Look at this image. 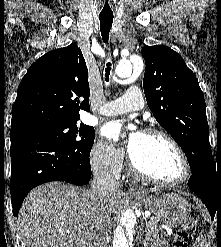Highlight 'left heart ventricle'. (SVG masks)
Listing matches in <instances>:
<instances>
[{"instance_id":"b2bd125f","label":"left heart ventricle","mask_w":221,"mask_h":247,"mask_svg":"<svg viewBox=\"0 0 221 247\" xmlns=\"http://www.w3.org/2000/svg\"><path fill=\"white\" fill-rule=\"evenodd\" d=\"M129 151L136 163L146 172L166 181L183 177L181 158L167 141L142 133L130 137Z\"/></svg>"}]
</instances>
